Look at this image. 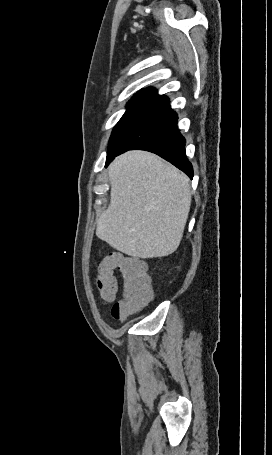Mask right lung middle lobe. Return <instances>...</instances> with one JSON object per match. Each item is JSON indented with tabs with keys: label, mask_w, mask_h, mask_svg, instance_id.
<instances>
[{
	"label": "right lung middle lobe",
	"mask_w": 272,
	"mask_h": 455,
	"mask_svg": "<svg viewBox=\"0 0 272 455\" xmlns=\"http://www.w3.org/2000/svg\"><path fill=\"white\" fill-rule=\"evenodd\" d=\"M165 106L164 103L132 100L127 104V110L114 127L108 151H110L129 131L146 121Z\"/></svg>",
	"instance_id": "obj_1"
}]
</instances>
